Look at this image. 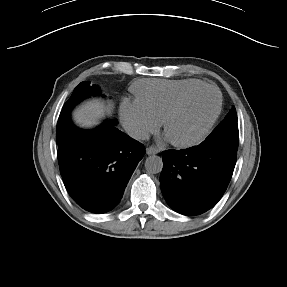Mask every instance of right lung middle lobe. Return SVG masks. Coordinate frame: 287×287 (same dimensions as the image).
<instances>
[{
    "label": "right lung middle lobe",
    "instance_id": "1",
    "mask_svg": "<svg viewBox=\"0 0 287 287\" xmlns=\"http://www.w3.org/2000/svg\"><path fill=\"white\" fill-rule=\"evenodd\" d=\"M101 90L96 85H91L89 81L81 82L73 91L69 100L63 106L60 113L57 132L56 142L58 146H63L69 138L70 131L74 128L70 120L71 109L79 103L81 100L91 97L93 95H101Z\"/></svg>",
    "mask_w": 287,
    "mask_h": 287
}]
</instances>
